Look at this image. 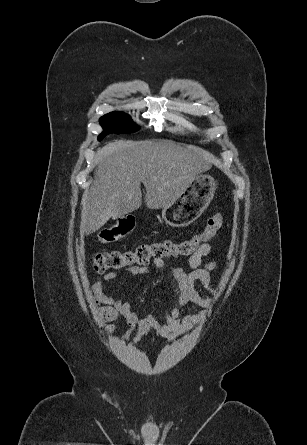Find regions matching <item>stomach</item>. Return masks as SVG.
Listing matches in <instances>:
<instances>
[{
    "label": "stomach",
    "mask_w": 307,
    "mask_h": 445,
    "mask_svg": "<svg viewBox=\"0 0 307 445\" xmlns=\"http://www.w3.org/2000/svg\"><path fill=\"white\" fill-rule=\"evenodd\" d=\"M217 182L210 174H196L184 192L162 208V218L170 227H188L210 204Z\"/></svg>",
    "instance_id": "1"
}]
</instances>
